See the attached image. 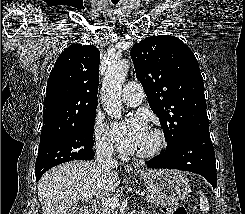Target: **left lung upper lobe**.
I'll return each instance as SVG.
<instances>
[{
	"label": "left lung upper lobe",
	"mask_w": 245,
	"mask_h": 214,
	"mask_svg": "<svg viewBox=\"0 0 245 214\" xmlns=\"http://www.w3.org/2000/svg\"><path fill=\"white\" fill-rule=\"evenodd\" d=\"M137 79L158 116L166 149L188 135L209 131L204 82L190 48L173 36H150L131 50Z\"/></svg>",
	"instance_id": "1"
}]
</instances>
